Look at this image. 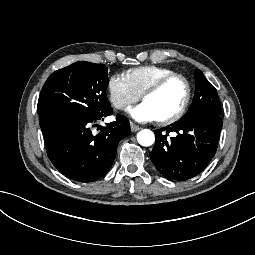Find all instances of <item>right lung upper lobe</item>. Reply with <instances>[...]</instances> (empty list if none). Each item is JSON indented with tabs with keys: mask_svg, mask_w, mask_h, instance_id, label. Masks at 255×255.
I'll return each instance as SVG.
<instances>
[{
	"mask_svg": "<svg viewBox=\"0 0 255 255\" xmlns=\"http://www.w3.org/2000/svg\"><path fill=\"white\" fill-rule=\"evenodd\" d=\"M50 133H51V130L46 131V132L44 133V137H45V138L48 137V136L50 135Z\"/></svg>",
	"mask_w": 255,
	"mask_h": 255,
	"instance_id": "1",
	"label": "right lung upper lobe"
}]
</instances>
